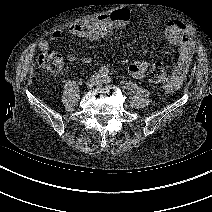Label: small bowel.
<instances>
[{"instance_id":"c3829d8e","label":"small bowel","mask_w":212,"mask_h":212,"mask_svg":"<svg viewBox=\"0 0 212 212\" xmlns=\"http://www.w3.org/2000/svg\"><path fill=\"white\" fill-rule=\"evenodd\" d=\"M132 16L128 8H117L111 13L101 14L95 18L86 19L79 23H73L68 27V33L83 37L90 40H101L106 38L113 30L122 28L128 24ZM161 22V18L154 19V23ZM188 25L180 19H172L169 21L165 29V37L167 41L173 45L178 51V58L172 70L171 81L165 86L167 92H174L183 83L187 74L190 61L195 53L194 41L187 35ZM62 31H55L51 34L52 40L62 38ZM38 48L46 51L49 48L47 40H40ZM68 61L89 65L93 59L89 56H77L73 53H67ZM150 67L147 60H138L130 63L128 70L134 78H143L146 76Z\"/></svg>"}]
</instances>
